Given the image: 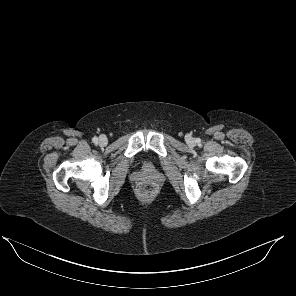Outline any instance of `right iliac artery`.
<instances>
[{"label": "right iliac artery", "mask_w": 296, "mask_h": 296, "mask_svg": "<svg viewBox=\"0 0 296 296\" xmlns=\"http://www.w3.org/2000/svg\"><path fill=\"white\" fill-rule=\"evenodd\" d=\"M92 141H93V143H97V142H98V138H97V137H94V138L92 139Z\"/></svg>", "instance_id": "obj_1"}]
</instances>
